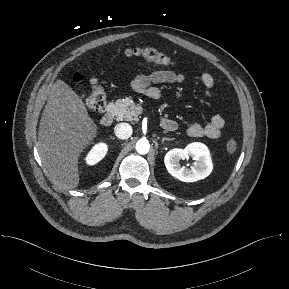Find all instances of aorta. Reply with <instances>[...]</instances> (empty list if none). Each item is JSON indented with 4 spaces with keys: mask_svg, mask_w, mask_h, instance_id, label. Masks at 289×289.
I'll use <instances>...</instances> for the list:
<instances>
[{
    "mask_svg": "<svg viewBox=\"0 0 289 289\" xmlns=\"http://www.w3.org/2000/svg\"><path fill=\"white\" fill-rule=\"evenodd\" d=\"M150 145L146 139H140L136 143V150L139 154H147L149 152Z\"/></svg>",
    "mask_w": 289,
    "mask_h": 289,
    "instance_id": "762f6f07",
    "label": "aorta"
}]
</instances>
